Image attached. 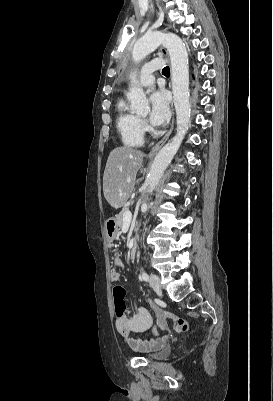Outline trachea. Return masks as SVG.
Instances as JSON below:
<instances>
[{"instance_id": "obj_1", "label": "trachea", "mask_w": 273, "mask_h": 401, "mask_svg": "<svg viewBox=\"0 0 273 401\" xmlns=\"http://www.w3.org/2000/svg\"><path fill=\"white\" fill-rule=\"evenodd\" d=\"M162 73H163V74H170V69H169V67H164L163 70H162Z\"/></svg>"}]
</instances>
